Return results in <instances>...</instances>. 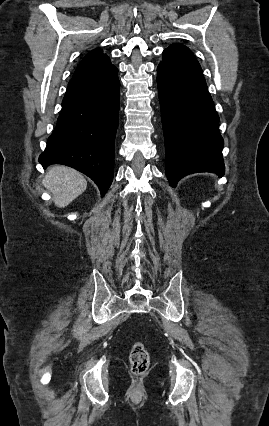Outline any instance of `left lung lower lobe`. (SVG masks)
Returning a JSON list of instances; mask_svg holds the SVG:
<instances>
[{
    "mask_svg": "<svg viewBox=\"0 0 269 426\" xmlns=\"http://www.w3.org/2000/svg\"><path fill=\"white\" fill-rule=\"evenodd\" d=\"M166 176L175 187L196 172L224 174L219 116L201 66L186 46L174 43L163 51L157 68Z\"/></svg>",
    "mask_w": 269,
    "mask_h": 426,
    "instance_id": "obj_1",
    "label": "left lung lower lobe"
}]
</instances>
